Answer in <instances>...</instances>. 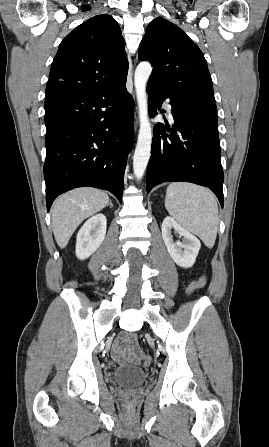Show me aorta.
Returning <instances> with one entry per match:
<instances>
[{
  "mask_svg": "<svg viewBox=\"0 0 269 447\" xmlns=\"http://www.w3.org/2000/svg\"><path fill=\"white\" fill-rule=\"evenodd\" d=\"M153 68L149 62H140L134 74V86L139 114V134L133 156V170L137 180H141L151 156L152 128L149 122L146 84Z\"/></svg>",
  "mask_w": 269,
  "mask_h": 447,
  "instance_id": "1",
  "label": "aorta"
}]
</instances>
